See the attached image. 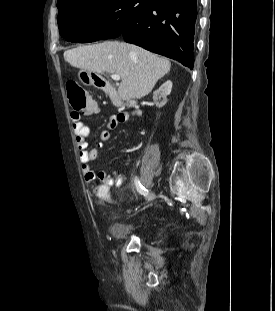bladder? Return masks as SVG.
Instances as JSON below:
<instances>
[{
  "mask_svg": "<svg viewBox=\"0 0 275 311\" xmlns=\"http://www.w3.org/2000/svg\"><path fill=\"white\" fill-rule=\"evenodd\" d=\"M133 232V226L131 224L123 222H113L109 225V235L113 239H124L130 236Z\"/></svg>",
  "mask_w": 275,
  "mask_h": 311,
  "instance_id": "1",
  "label": "bladder"
}]
</instances>
